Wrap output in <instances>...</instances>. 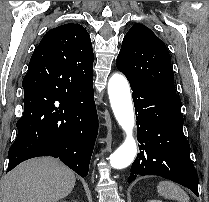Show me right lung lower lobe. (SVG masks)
<instances>
[{
    "instance_id": "98d812e1",
    "label": "right lung lower lobe",
    "mask_w": 209,
    "mask_h": 202,
    "mask_svg": "<svg viewBox=\"0 0 209 202\" xmlns=\"http://www.w3.org/2000/svg\"><path fill=\"white\" fill-rule=\"evenodd\" d=\"M22 86L24 113L9 149L7 171L27 159L50 155L87 176L98 132L93 83L62 86L48 71L29 68Z\"/></svg>"
}]
</instances>
